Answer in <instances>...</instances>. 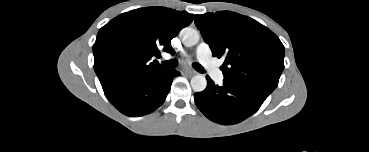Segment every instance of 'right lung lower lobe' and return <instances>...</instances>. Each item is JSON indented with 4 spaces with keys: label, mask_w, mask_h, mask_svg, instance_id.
Returning a JSON list of instances; mask_svg holds the SVG:
<instances>
[{
    "label": "right lung lower lobe",
    "mask_w": 369,
    "mask_h": 152,
    "mask_svg": "<svg viewBox=\"0 0 369 152\" xmlns=\"http://www.w3.org/2000/svg\"><path fill=\"white\" fill-rule=\"evenodd\" d=\"M180 75L172 69L128 79L104 91L108 100L123 114L142 116L157 109L166 99L173 78Z\"/></svg>",
    "instance_id": "obj_1"
}]
</instances>
